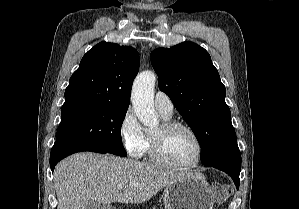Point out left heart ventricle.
Wrapping results in <instances>:
<instances>
[{"instance_id": "obj_1", "label": "left heart ventricle", "mask_w": 299, "mask_h": 209, "mask_svg": "<svg viewBox=\"0 0 299 209\" xmlns=\"http://www.w3.org/2000/svg\"><path fill=\"white\" fill-rule=\"evenodd\" d=\"M152 134L161 135V125L153 130ZM164 153L165 156L174 163L188 164L196 157L197 145L188 132L176 130L166 135Z\"/></svg>"}]
</instances>
